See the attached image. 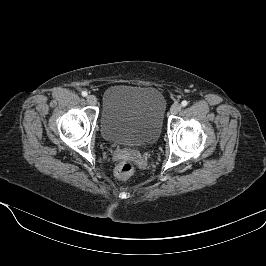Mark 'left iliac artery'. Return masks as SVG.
Wrapping results in <instances>:
<instances>
[{
    "mask_svg": "<svg viewBox=\"0 0 266 266\" xmlns=\"http://www.w3.org/2000/svg\"><path fill=\"white\" fill-rule=\"evenodd\" d=\"M187 104H188V102H187L186 100H183V101L181 102V105H182L183 107L187 106Z\"/></svg>",
    "mask_w": 266,
    "mask_h": 266,
    "instance_id": "obj_1",
    "label": "left iliac artery"
}]
</instances>
